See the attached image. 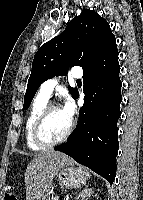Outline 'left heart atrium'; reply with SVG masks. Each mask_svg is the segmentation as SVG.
Instances as JSON below:
<instances>
[{
    "instance_id": "1",
    "label": "left heart atrium",
    "mask_w": 143,
    "mask_h": 200,
    "mask_svg": "<svg viewBox=\"0 0 143 200\" xmlns=\"http://www.w3.org/2000/svg\"><path fill=\"white\" fill-rule=\"evenodd\" d=\"M61 109L66 115V117L71 121L75 112V107H74L73 102L69 98H67Z\"/></svg>"
}]
</instances>
